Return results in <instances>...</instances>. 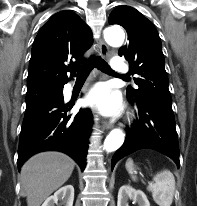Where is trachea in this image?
Instances as JSON below:
<instances>
[{
	"label": "trachea",
	"instance_id": "trachea-1",
	"mask_svg": "<svg viewBox=\"0 0 197 206\" xmlns=\"http://www.w3.org/2000/svg\"><path fill=\"white\" fill-rule=\"evenodd\" d=\"M108 74H114L108 63L99 56H91L82 66L78 67V77H86L93 68Z\"/></svg>",
	"mask_w": 197,
	"mask_h": 206
}]
</instances>
